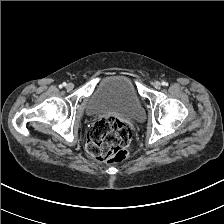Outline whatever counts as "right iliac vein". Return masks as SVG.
I'll list each match as a JSON object with an SVG mask.
<instances>
[{
    "instance_id": "right-iliac-vein-1",
    "label": "right iliac vein",
    "mask_w": 224,
    "mask_h": 224,
    "mask_svg": "<svg viewBox=\"0 0 224 224\" xmlns=\"http://www.w3.org/2000/svg\"><path fill=\"white\" fill-rule=\"evenodd\" d=\"M73 88H74L73 83H68V84L66 85V89H67L68 91L72 90Z\"/></svg>"
}]
</instances>
